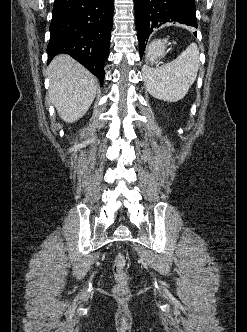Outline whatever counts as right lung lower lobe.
Returning a JSON list of instances; mask_svg holds the SVG:
<instances>
[{
  "label": "right lung lower lobe",
  "mask_w": 247,
  "mask_h": 332,
  "mask_svg": "<svg viewBox=\"0 0 247 332\" xmlns=\"http://www.w3.org/2000/svg\"><path fill=\"white\" fill-rule=\"evenodd\" d=\"M114 0H55L50 24L48 60L67 53L103 85L109 55Z\"/></svg>",
  "instance_id": "1"
}]
</instances>
